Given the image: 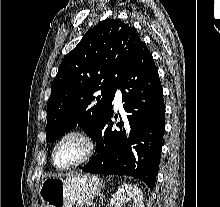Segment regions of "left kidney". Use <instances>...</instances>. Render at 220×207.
Returning a JSON list of instances; mask_svg holds the SVG:
<instances>
[{"label":"left kidney","mask_w":220,"mask_h":207,"mask_svg":"<svg viewBox=\"0 0 220 207\" xmlns=\"http://www.w3.org/2000/svg\"><path fill=\"white\" fill-rule=\"evenodd\" d=\"M126 202H131V207H144L143 195L137 186L123 184L110 200L112 207H122Z\"/></svg>","instance_id":"left-kidney-1"}]
</instances>
